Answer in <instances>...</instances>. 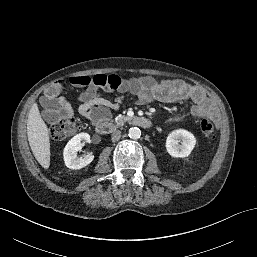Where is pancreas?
Here are the masks:
<instances>
[{
    "label": "pancreas",
    "mask_w": 257,
    "mask_h": 257,
    "mask_svg": "<svg viewBox=\"0 0 257 257\" xmlns=\"http://www.w3.org/2000/svg\"><path fill=\"white\" fill-rule=\"evenodd\" d=\"M114 120H115V123H116L117 125H121V124H123L126 120H128V117L125 116V115H118V116L115 117Z\"/></svg>",
    "instance_id": "1"
}]
</instances>
